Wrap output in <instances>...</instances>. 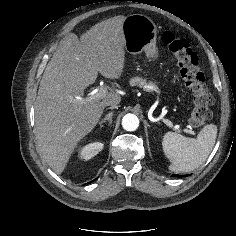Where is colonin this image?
<instances>
[{
  "instance_id": "1",
  "label": "colon",
  "mask_w": 236,
  "mask_h": 236,
  "mask_svg": "<svg viewBox=\"0 0 236 236\" xmlns=\"http://www.w3.org/2000/svg\"><path fill=\"white\" fill-rule=\"evenodd\" d=\"M162 41L173 53L179 74L193 96L194 108L189 123L194 128L200 127L211 118L214 100L198 68V57L185 39L170 31L163 33Z\"/></svg>"
}]
</instances>
